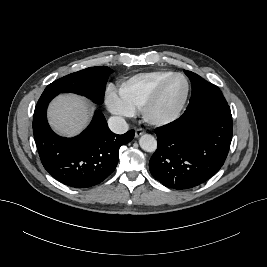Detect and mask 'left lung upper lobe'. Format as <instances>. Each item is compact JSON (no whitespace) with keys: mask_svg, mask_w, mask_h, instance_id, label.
I'll return each mask as SVG.
<instances>
[{"mask_svg":"<svg viewBox=\"0 0 267 267\" xmlns=\"http://www.w3.org/2000/svg\"><path fill=\"white\" fill-rule=\"evenodd\" d=\"M185 74L190 78L192 82V94L191 97H196V96H204L207 93L213 94V99H215L214 103L216 105L222 104L223 102H226L224 96L222 95L220 89L206 80H204L202 77L199 75L191 72L184 70ZM210 90H214L211 92Z\"/></svg>","mask_w":267,"mask_h":267,"instance_id":"5c2ea615","label":"left lung upper lobe"}]
</instances>
